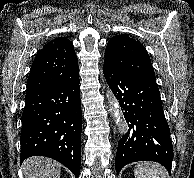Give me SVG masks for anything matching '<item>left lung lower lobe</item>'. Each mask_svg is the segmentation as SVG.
Wrapping results in <instances>:
<instances>
[{
	"label": "left lung lower lobe",
	"mask_w": 194,
	"mask_h": 178,
	"mask_svg": "<svg viewBox=\"0 0 194 178\" xmlns=\"http://www.w3.org/2000/svg\"><path fill=\"white\" fill-rule=\"evenodd\" d=\"M104 75L130 123L128 132L118 143L116 172L135 161H155L170 172L173 147L157 83L128 74L106 62Z\"/></svg>",
	"instance_id": "0a47b994"
}]
</instances>
